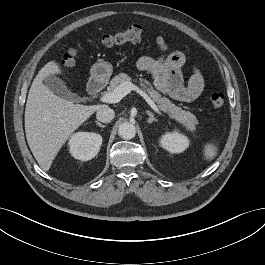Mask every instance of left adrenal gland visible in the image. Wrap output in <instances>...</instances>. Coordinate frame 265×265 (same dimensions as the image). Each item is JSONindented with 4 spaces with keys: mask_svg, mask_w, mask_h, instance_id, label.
I'll return each mask as SVG.
<instances>
[{
    "mask_svg": "<svg viewBox=\"0 0 265 265\" xmlns=\"http://www.w3.org/2000/svg\"><path fill=\"white\" fill-rule=\"evenodd\" d=\"M147 115H149L148 123L151 124L152 122H157V119L153 116V114L150 111H146Z\"/></svg>",
    "mask_w": 265,
    "mask_h": 265,
    "instance_id": "1",
    "label": "left adrenal gland"
}]
</instances>
